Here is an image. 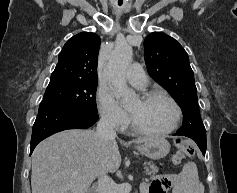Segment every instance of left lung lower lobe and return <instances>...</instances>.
Wrapping results in <instances>:
<instances>
[{
	"mask_svg": "<svg viewBox=\"0 0 237 193\" xmlns=\"http://www.w3.org/2000/svg\"><path fill=\"white\" fill-rule=\"evenodd\" d=\"M176 135H178V133H176ZM196 143L204 155L206 152V143H201V142H196Z\"/></svg>",
	"mask_w": 237,
	"mask_h": 193,
	"instance_id": "left-lung-lower-lobe-1",
	"label": "left lung lower lobe"
}]
</instances>
